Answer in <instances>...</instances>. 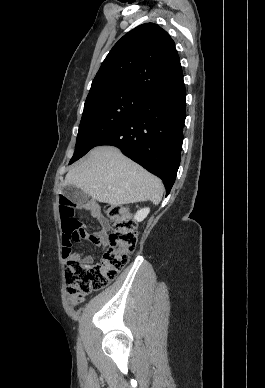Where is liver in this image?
<instances>
[{"instance_id": "6515ba94", "label": "liver", "mask_w": 265, "mask_h": 388, "mask_svg": "<svg viewBox=\"0 0 265 388\" xmlns=\"http://www.w3.org/2000/svg\"><path fill=\"white\" fill-rule=\"evenodd\" d=\"M81 188L93 200L119 206L162 200L164 186L141 166L125 158L114 146H98L87 160L69 170L63 186Z\"/></svg>"}]
</instances>
